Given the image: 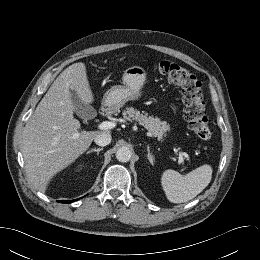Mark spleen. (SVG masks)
I'll use <instances>...</instances> for the list:
<instances>
[{
	"label": "spleen",
	"mask_w": 260,
	"mask_h": 260,
	"mask_svg": "<svg viewBox=\"0 0 260 260\" xmlns=\"http://www.w3.org/2000/svg\"><path fill=\"white\" fill-rule=\"evenodd\" d=\"M212 171V167L208 164L186 175L171 169L165 170L161 177V184L167 199L172 203H183L193 199L208 186Z\"/></svg>",
	"instance_id": "obj_1"
}]
</instances>
